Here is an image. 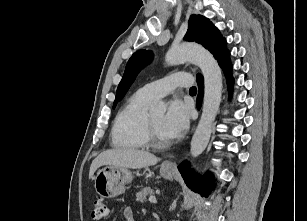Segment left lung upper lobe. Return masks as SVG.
Instances as JSON below:
<instances>
[{"mask_svg":"<svg viewBox=\"0 0 307 221\" xmlns=\"http://www.w3.org/2000/svg\"><path fill=\"white\" fill-rule=\"evenodd\" d=\"M187 41H194L208 49L219 62L224 56L229 54L226 48V41L221 37L218 29L209 19L202 15H192L189 19L188 30L184 37ZM152 59V53L146 50L135 52L129 59L124 75L118 85L113 109L116 104L124 97L127 90L134 82L139 71L147 65ZM202 77L200 74L197 78Z\"/></svg>","mask_w":307,"mask_h":221,"instance_id":"5c2ea615","label":"left lung upper lobe"}]
</instances>
